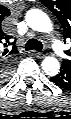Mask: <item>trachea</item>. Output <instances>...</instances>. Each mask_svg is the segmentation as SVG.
Here are the masks:
<instances>
[{
	"label": "trachea",
	"mask_w": 71,
	"mask_h": 119,
	"mask_svg": "<svg viewBox=\"0 0 71 119\" xmlns=\"http://www.w3.org/2000/svg\"><path fill=\"white\" fill-rule=\"evenodd\" d=\"M43 48V45L40 41H38L37 39H30L28 40V42L25 45V49L26 50H36V51H41Z\"/></svg>",
	"instance_id": "obj_1"
}]
</instances>
